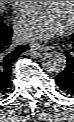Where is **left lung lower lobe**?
Masks as SVG:
<instances>
[{"label":"left lung lower lobe","mask_w":74,"mask_h":122,"mask_svg":"<svg viewBox=\"0 0 74 122\" xmlns=\"http://www.w3.org/2000/svg\"><path fill=\"white\" fill-rule=\"evenodd\" d=\"M73 48L66 52L67 66L55 79L59 88L67 94L74 95V34L72 35Z\"/></svg>","instance_id":"1"}]
</instances>
